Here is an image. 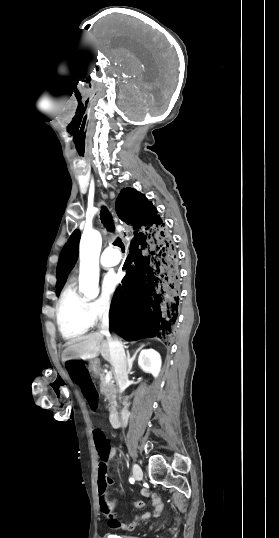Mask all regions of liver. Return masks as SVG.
Instances as JSON below:
<instances>
[{"mask_svg": "<svg viewBox=\"0 0 279 538\" xmlns=\"http://www.w3.org/2000/svg\"><path fill=\"white\" fill-rule=\"evenodd\" d=\"M103 334H88V336H83L82 340H77V342H67L64 354H70L69 358L66 360H77V358H82V360H92V358H97L101 354L104 360L110 362V350L108 342L103 340Z\"/></svg>", "mask_w": 279, "mask_h": 538, "instance_id": "obj_1", "label": "liver"}]
</instances>
